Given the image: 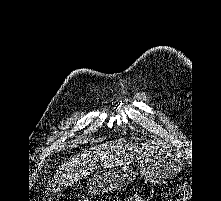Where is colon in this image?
Wrapping results in <instances>:
<instances>
[{
    "instance_id": "colon-1",
    "label": "colon",
    "mask_w": 221,
    "mask_h": 201,
    "mask_svg": "<svg viewBox=\"0 0 221 201\" xmlns=\"http://www.w3.org/2000/svg\"><path fill=\"white\" fill-rule=\"evenodd\" d=\"M175 197L177 201H188L190 198V190L189 187L187 186V184H183L182 186H180L176 193H175ZM44 201H54L52 199H45Z\"/></svg>"
}]
</instances>
